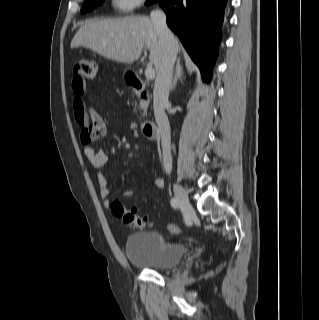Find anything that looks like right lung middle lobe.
<instances>
[{
  "label": "right lung middle lobe",
  "mask_w": 319,
  "mask_h": 320,
  "mask_svg": "<svg viewBox=\"0 0 319 320\" xmlns=\"http://www.w3.org/2000/svg\"><path fill=\"white\" fill-rule=\"evenodd\" d=\"M102 0H86L81 8L82 13H86L95 9ZM155 0H148L147 4L153 3Z\"/></svg>",
  "instance_id": "1"
}]
</instances>
